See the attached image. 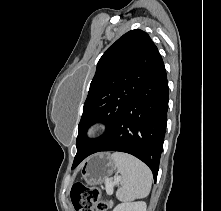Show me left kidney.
<instances>
[{
    "instance_id": "5707ae66",
    "label": "left kidney",
    "mask_w": 221,
    "mask_h": 211,
    "mask_svg": "<svg viewBox=\"0 0 221 211\" xmlns=\"http://www.w3.org/2000/svg\"><path fill=\"white\" fill-rule=\"evenodd\" d=\"M113 211H146V203L143 201L124 202L118 204Z\"/></svg>"
}]
</instances>
